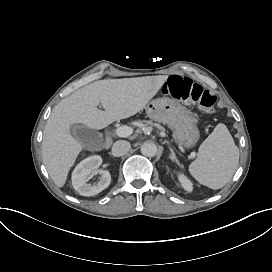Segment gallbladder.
I'll list each match as a JSON object with an SVG mask.
<instances>
[{
  "label": "gallbladder",
  "mask_w": 272,
  "mask_h": 272,
  "mask_svg": "<svg viewBox=\"0 0 272 272\" xmlns=\"http://www.w3.org/2000/svg\"><path fill=\"white\" fill-rule=\"evenodd\" d=\"M72 134L87 149H90L103 141L100 133L83 125H73Z\"/></svg>",
  "instance_id": "obj_1"
}]
</instances>
